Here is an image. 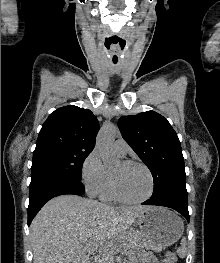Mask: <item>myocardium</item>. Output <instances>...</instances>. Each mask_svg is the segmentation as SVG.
Wrapping results in <instances>:
<instances>
[{
  "label": "myocardium",
  "instance_id": "myocardium-1",
  "mask_svg": "<svg viewBox=\"0 0 220 263\" xmlns=\"http://www.w3.org/2000/svg\"><path fill=\"white\" fill-rule=\"evenodd\" d=\"M121 163L125 166H130V165H138L141 166L148 174L149 179H150V189L149 192L142 198L139 199H129L126 198L120 191L119 186H118V181L116 178V175L113 173V171H111V185H112V191L113 194L115 196V198L123 203L126 204H141L146 202L147 200H149L151 198V196L154 193V189H155V179H154V175L151 171V169L143 162L141 161H137V160H123L121 161Z\"/></svg>",
  "mask_w": 220,
  "mask_h": 263
}]
</instances>
